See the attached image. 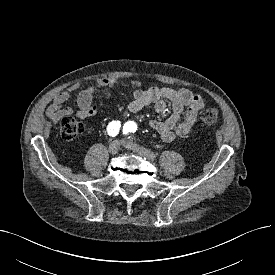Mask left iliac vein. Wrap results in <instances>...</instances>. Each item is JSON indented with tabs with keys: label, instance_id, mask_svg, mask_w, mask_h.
Returning a JSON list of instances; mask_svg holds the SVG:
<instances>
[{
	"label": "left iliac vein",
	"instance_id": "obj_1",
	"mask_svg": "<svg viewBox=\"0 0 275 275\" xmlns=\"http://www.w3.org/2000/svg\"><path fill=\"white\" fill-rule=\"evenodd\" d=\"M122 144H123L126 148L131 149V150H133V151L139 153L140 155H143V156L147 157V158L150 159V160H155V158H156L155 155H154L152 152L148 151L147 149H145V148H143V147H140V146L137 145V144H134V143L129 142V141H127V140H123V141H122Z\"/></svg>",
	"mask_w": 275,
	"mask_h": 275
}]
</instances>
